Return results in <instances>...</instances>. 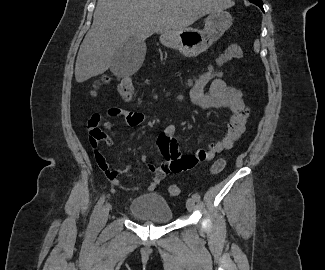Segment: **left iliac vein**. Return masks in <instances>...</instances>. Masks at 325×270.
<instances>
[{
  "label": "left iliac vein",
  "instance_id": "4c4485c4",
  "mask_svg": "<svg viewBox=\"0 0 325 270\" xmlns=\"http://www.w3.org/2000/svg\"><path fill=\"white\" fill-rule=\"evenodd\" d=\"M186 207L189 212H192L195 209V200L193 198H189L186 202Z\"/></svg>",
  "mask_w": 325,
  "mask_h": 270
}]
</instances>
